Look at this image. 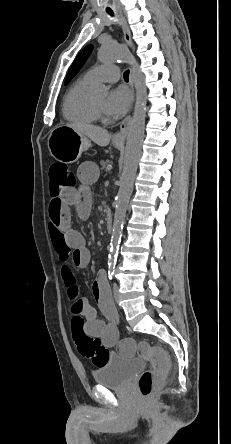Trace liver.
<instances>
[{"label":"liver","mask_w":231,"mask_h":444,"mask_svg":"<svg viewBox=\"0 0 231 444\" xmlns=\"http://www.w3.org/2000/svg\"><path fill=\"white\" fill-rule=\"evenodd\" d=\"M66 126L74 129L77 133L84 135L101 147L107 146L111 139L108 131L98 126L84 123L67 124Z\"/></svg>","instance_id":"liver-1"}]
</instances>
